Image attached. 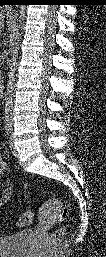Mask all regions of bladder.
<instances>
[{
	"label": "bladder",
	"mask_w": 106,
	"mask_h": 257,
	"mask_svg": "<svg viewBox=\"0 0 106 257\" xmlns=\"http://www.w3.org/2000/svg\"><path fill=\"white\" fill-rule=\"evenodd\" d=\"M33 232L24 230L0 238L1 257H27L31 250Z\"/></svg>",
	"instance_id": "1"
}]
</instances>
